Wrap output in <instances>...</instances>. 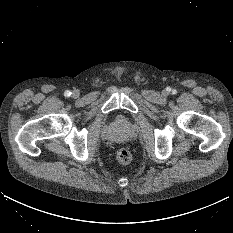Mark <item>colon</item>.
Returning <instances> with one entry per match:
<instances>
[{
	"instance_id": "1",
	"label": "colon",
	"mask_w": 233,
	"mask_h": 233,
	"mask_svg": "<svg viewBox=\"0 0 233 233\" xmlns=\"http://www.w3.org/2000/svg\"><path fill=\"white\" fill-rule=\"evenodd\" d=\"M117 161L121 164H128L132 160L131 152L126 148H121L116 154Z\"/></svg>"
}]
</instances>
